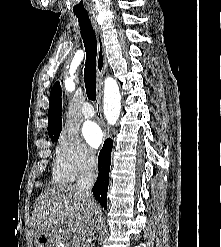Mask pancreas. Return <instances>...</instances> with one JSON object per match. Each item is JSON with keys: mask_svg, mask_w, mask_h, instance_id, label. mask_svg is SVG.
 <instances>
[{"mask_svg": "<svg viewBox=\"0 0 221 247\" xmlns=\"http://www.w3.org/2000/svg\"><path fill=\"white\" fill-rule=\"evenodd\" d=\"M57 247H71V243L65 239H62Z\"/></svg>", "mask_w": 221, "mask_h": 247, "instance_id": "cf45deb5", "label": "pancreas"}]
</instances>
